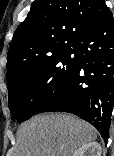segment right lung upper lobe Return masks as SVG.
<instances>
[{"mask_svg":"<svg viewBox=\"0 0 114 156\" xmlns=\"http://www.w3.org/2000/svg\"><path fill=\"white\" fill-rule=\"evenodd\" d=\"M108 10L102 0H35L16 29L7 57V86L75 44Z\"/></svg>","mask_w":114,"mask_h":156,"instance_id":"1","label":"right lung upper lobe"}]
</instances>
